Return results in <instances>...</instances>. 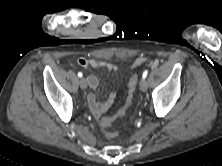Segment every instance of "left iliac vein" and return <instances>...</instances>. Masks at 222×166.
I'll return each mask as SVG.
<instances>
[{"mask_svg": "<svg viewBox=\"0 0 222 166\" xmlns=\"http://www.w3.org/2000/svg\"><path fill=\"white\" fill-rule=\"evenodd\" d=\"M139 88L141 91L145 92L148 89V84L145 79H141L139 82Z\"/></svg>", "mask_w": 222, "mask_h": 166, "instance_id": "4c4485c4", "label": "left iliac vein"}]
</instances>
